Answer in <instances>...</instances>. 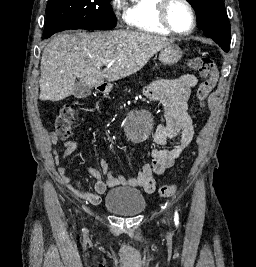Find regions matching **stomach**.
Segmentation results:
<instances>
[{
  "instance_id": "obj_1",
  "label": "stomach",
  "mask_w": 256,
  "mask_h": 267,
  "mask_svg": "<svg viewBox=\"0 0 256 267\" xmlns=\"http://www.w3.org/2000/svg\"><path fill=\"white\" fill-rule=\"evenodd\" d=\"M182 58V50L177 46V44H167L163 46L162 50L159 52V58L161 64L164 66H173L177 64Z\"/></svg>"
}]
</instances>
